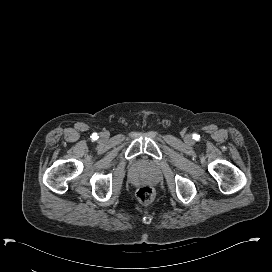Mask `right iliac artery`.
Masks as SVG:
<instances>
[{
  "label": "right iliac artery",
  "instance_id": "right-iliac-artery-1",
  "mask_svg": "<svg viewBox=\"0 0 272 272\" xmlns=\"http://www.w3.org/2000/svg\"><path fill=\"white\" fill-rule=\"evenodd\" d=\"M92 139H94V140L98 139V136H97L96 133H93V134H92Z\"/></svg>",
  "mask_w": 272,
  "mask_h": 272
}]
</instances>
